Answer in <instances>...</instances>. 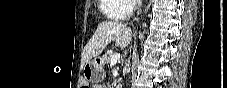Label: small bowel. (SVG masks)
Returning a JSON list of instances; mask_svg holds the SVG:
<instances>
[{"instance_id":"obj_1","label":"small bowel","mask_w":227,"mask_h":88,"mask_svg":"<svg viewBox=\"0 0 227 88\" xmlns=\"http://www.w3.org/2000/svg\"><path fill=\"white\" fill-rule=\"evenodd\" d=\"M95 87H96V88H100V87H102V86H100V85H96Z\"/></svg>"}]
</instances>
